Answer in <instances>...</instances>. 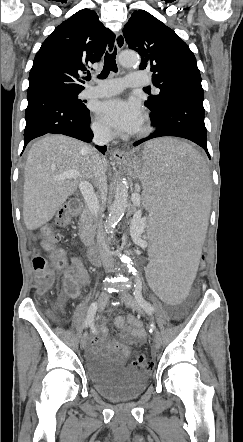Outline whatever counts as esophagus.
Segmentation results:
<instances>
[{"instance_id": "obj_1", "label": "esophagus", "mask_w": 243, "mask_h": 442, "mask_svg": "<svg viewBox=\"0 0 243 442\" xmlns=\"http://www.w3.org/2000/svg\"><path fill=\"white\" fill-rule=\"evenodd\" d=\"M115 45L118 51H121L125 45V38L122 32H118L116 35ZM111 156L114 160L122 162L127 159L128 154L119 149H113L111 151Z\"/></svg>"}]
</instances>
